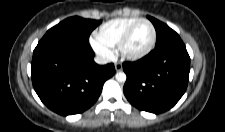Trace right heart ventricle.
Listing matches in <instances>:
<instances>
[{
    "instance_id": "1",
    "label": "right heart ventricle",
    "mask_w": 225,
    "mask_h": 132,
    "mask_svg": "<svg viewBox=\"0 0 225 132\" xmlns=\"http://www.w3.org/2000/svg\"><path fill=\"white\" fill-rule=\"evenodd\" d=\"M138 18H116L100 26L96 32V40L109 48L118 45L120 38L126 29Z\"/></svg>"
}]
</instances>
